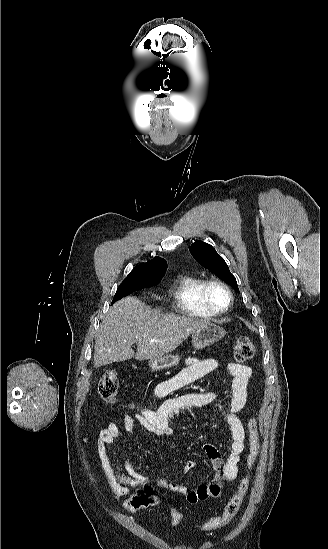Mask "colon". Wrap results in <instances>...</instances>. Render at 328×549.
Masks as SVG:
<instances>
[{
	"instance_id": "1",
	"label": "colon",
	"mask_w": 328,
	"mask_h": 549,
	"mask_svg": "<svg viewBox=\"0 0 328 549\" xmlns=\"http://www.w3.org/2000/svg\"><path fill=\"white\" fill-rule=\"evenodd\" d=\"M255 353V347L252 341L246 336H240L236 339L233 345L234 359L239 363H244L250 360ZM119 389V379L115 372L106 371L100 378L98 392L100 397L110 403L117 399ZM259 438L257 422L255 418L248 421V453L246 456V468L248 473L251 471L258 454ZM249 486V474L240 481L237 492L227 502L223 513L220 516H215L201 525V530L212 531L226 527L237 515ZM160 497L158 490L146 484L142 490L133 495L125 504V509L129 513H136L140 510L154 508L159 506ZM171 522L175 527L181 526L184 523V516L175 509H171Z\"/></svg>"
}]
</instances>
